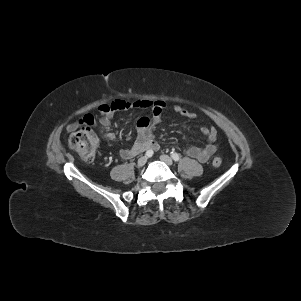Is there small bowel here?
Listing matches in <instances>:
<instances>
[{"label": "small bowel", "instance_id": "1", "mask_svg": "<svg viewBox=\"0 0 301 301\" xmlns=\"http://www.w3.org/2000/svg\"><path fill=\"white\" fill-rule=\"evenodd\" d=\"M165 103L163 101L151 100H136L128 101L125 99H117L109 104L100 106L99 111L101 117L98 121L101 127L103 136L110 141L115 140V135L108 131L112 124V118L117 111L130 110V109H150L152 116H142L136 121V140L131 147L122 149L120 156L123 159H130L140 152L145 150L157 151L159 144L153 137L152 128L161 121V116ZM174 111L184 117L194 118L195 114L182 106H175ZM96 124L94 117L90 114L85 115L79 122L68 125V131H74L79 127L93 126ZM201 133L206 136L208 144L204 147L192 146L186 149L185 153L200 162H206L217 151V131L215 128L202 127Z\"/></svg>", "mask_w": 301, "mask_h": 301}]
</instances>
